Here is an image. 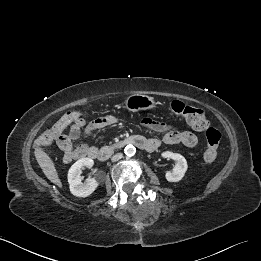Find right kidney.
Returning <instances> with one entry per match:
<instances>
[{
    "mask_svg": "<svg viewBox=\"0 0 261 261\" xmlns=\"http://www.w3.org/2000/svg\"><path fill=\"white\" fill-rule=\"evenodd\" d=\"M94 164L91 158H82L76 161L68 171V182L70 192L76 197H87L98 187L99 183L94 178H89L82 183L80 176L83 167H92Z\"/></svg>",
    "mask_w": 261,
    "mask_h": 261,
    "instance_id": "1",
    "label": "right kidney"
}]
</instances>
